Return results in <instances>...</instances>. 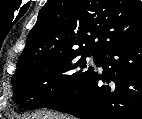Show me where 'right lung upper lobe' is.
Masks as SVG:
<instances>
[{
    "instance_id": "cb5924a9",
    "label": "right lung upper lobe",
    "mask_w": 142,
    "mask_h": 119,
    "mask_svg": "<svg viewBox=\"0 0 142 119\" xmlns=\"http://www.w3.org/2000/svg\"><path fill=\"white\" fill-rule=\"evenodd\" d=\"M140 39L142 5L138 0H47L27 36L17 70L62 52L100 55Z\"/></svg>"
}]
</instances>
